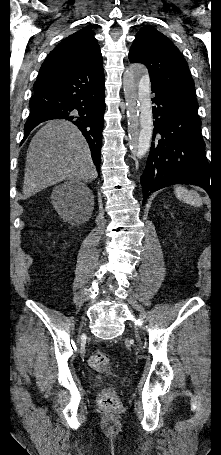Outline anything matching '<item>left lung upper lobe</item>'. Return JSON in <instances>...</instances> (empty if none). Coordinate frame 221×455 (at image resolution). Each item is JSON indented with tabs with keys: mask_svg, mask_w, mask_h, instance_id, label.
<instances>
[{
	"mask_svg": "<svg viewBox=\"0 0 221 455\" xmlns=\"http://www.w3.org/2000/svg\"><path fill=\"white\" fill-rule=\"evenodd\" d=\"M129 60L131 63L140 62L148 68L152 85L198 107L187 62L178 48L161 32L150 26L141 28L129 51Z\"/></svg>",
	"mask_w": 221,
	"mask_h": 455,
	"instance_id": "obj_1",
	"label": "left lung upper lobe"
}]
</instances>
